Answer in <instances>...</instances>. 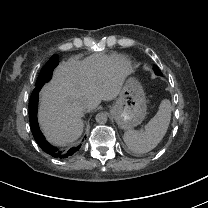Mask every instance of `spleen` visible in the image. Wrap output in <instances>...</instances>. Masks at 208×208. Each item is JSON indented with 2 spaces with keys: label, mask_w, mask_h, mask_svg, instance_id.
Wrapping results in <instances>:
<instances>
[{
  "label": "spleen",
  "mask_w": 208,
  "mask_h": 208,
  "mask_svg": "<svg viewBox=\"0 0 208 208\" xmlns=\"http://www.w3.org/2000/svg\"><path fill=\"white\" fill-rule=\"evenodd\" d=\"M172 106L168 99L161 101L156 115L147 123L144 131L129 130L123 140L135 153H147L154 149L165 136L171 120Z\"/></svg>",
  "instance_id": "spleen-1"
}]
</instances>
